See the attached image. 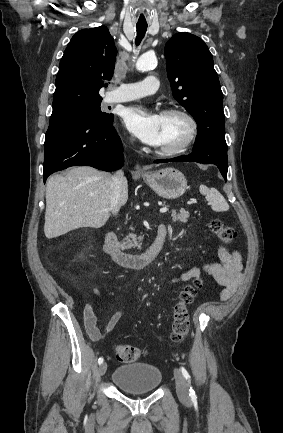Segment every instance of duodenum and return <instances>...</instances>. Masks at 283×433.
Masks as SVG:
<instances>
[{"mask_svg":"<svg viewBox=\"0 0 283 433\" xmlns=\"http://www.w3.org/2000/svg\"><path fill=\"white\" fill-rule=\"evenodd\" d=\"M166 236L167 227L160 224L157 227L156 237L148 249L141 254H130L122 250L117 234L109 232L105 237L103 249L118 265L131 269H142L156 259L163 247Z\"/></svg>","mask_w":283,"mask_h":433,"instance_id":"410a0bca","label":"duodenum"}]
</instances>
